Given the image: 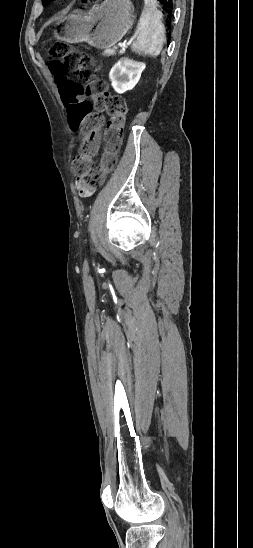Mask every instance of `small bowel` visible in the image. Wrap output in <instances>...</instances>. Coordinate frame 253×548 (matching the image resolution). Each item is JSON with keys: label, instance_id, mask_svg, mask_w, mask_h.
<instances>
[{"label": "small bowel", "instance_id": "c3829d8e", "mask_svg": "<svg viewBox=\"0 0 253 548\" xmlns=\"http://www.w3.org/2000/svg\"><path fill=\"white\" fill-rule=\"evenodd\" d=\"M75 186L83 197H89L95 192V187L88 185L82 176H77Z\"/></svg>", "mask_w": 253, "mask_h": 548}]
</instances>
